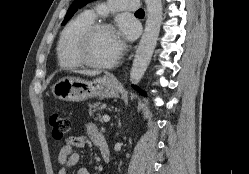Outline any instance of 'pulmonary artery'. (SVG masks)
<instances>
[{
	"instance_id": "obj_1",
	"label": "pulmonary artery",
	"mask_w": 249,
	"mask_h": 174,
	"mask_svg": "<svg viewBox=\"0 0 249 174\" xmlns=\"http://www.w3.org/2000/svg\"><path fill=\"white\" fill-rule=\"evenodd\" d=\"M139 0H108L99 3L95 8L86 13L95 19L99 14H104L108 10L137 11Z\"/></svg>"
}]
</instances>
